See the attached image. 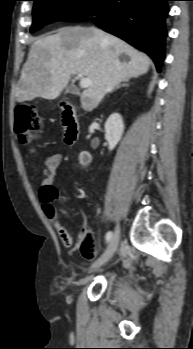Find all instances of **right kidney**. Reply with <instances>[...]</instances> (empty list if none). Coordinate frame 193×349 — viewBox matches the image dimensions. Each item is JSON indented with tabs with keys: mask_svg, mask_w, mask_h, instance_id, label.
<instances>
[{
	"mask_svg": "<svg viewBox=\"0 0 193 349\" xmlns=\"http://www.w3.org/2000/svg\"><path fill=\"white\" fill-rule=\"evenodd\" d=\"M124 131V123L122 117L118 113H113L109 116L105 123V139L108 142L109 150L112 151L118 142L121 140ZM91 157L88 152L81 153L80 162L83 163V156Z\"/></svg>",
	"mask_w": 193,
	"mask_h": 349,
	"instance_id": "1",
	"label": "right kidney"
}]
</instances>
